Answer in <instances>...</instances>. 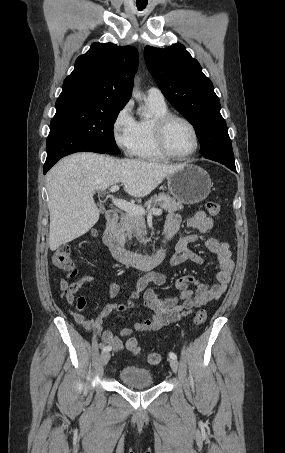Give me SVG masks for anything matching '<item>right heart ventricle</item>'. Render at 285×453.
I'll list each match as a JSON object with an SVG mask.
<instances>
[{
  "label": "right heart ventricle",
  "mask_w": 285,
  "mask_h": 453,
  "mask_svg": "<svg viewBox=\"0 0 285 453\" xmlns=\"http://www.w3.org/2000/svg\"><path fill=\"white\" fill-rule=\"evenodd\" d=\"M148 106L151 110V116L136 121L131 154L141 159L163 160L166 157L156 145L153 122L155 118L169 113V111L166 104L161 105L148 101Z\"/></svg>",
  "instance_id": "e07e8e85"
}]
</instances>
